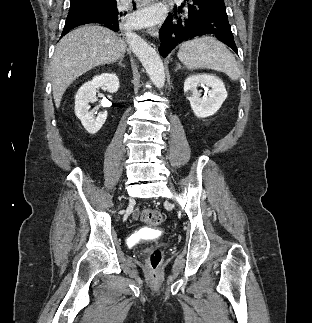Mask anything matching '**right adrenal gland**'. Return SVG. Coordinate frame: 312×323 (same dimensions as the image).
I'll return each instance as SVG.
<instances>
[{"instance_id":"obj_1","label":"right adrenal gland","mask_w":312,"mask_h":323,"mask_svg":"<svg viewBox=\"0 0 312 323\" xmlns=\"http://www.w3.org/2000/svg\"><path fill=\"white\" fill-rule=\"evenodd\" d=\"M123 60H124V58H119V64H120V66H122V68H125V66L123 64Z\"/></svg>"}]
</instances>
